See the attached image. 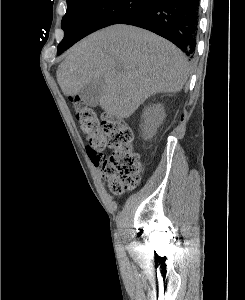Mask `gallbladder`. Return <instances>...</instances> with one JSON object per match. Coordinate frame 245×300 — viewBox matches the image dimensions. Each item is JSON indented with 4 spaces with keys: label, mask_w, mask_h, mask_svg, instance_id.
Listing matches in <instances>:
<instances>
[{
    "label": "gallbladder",
    "mask_w": 245,
    "mask_h": 300,
    "mask_svg": "<svg viewBox=\"0 0 245 300\" xmlns=\"http://www.w3.org/2000/svg\"><path fill=\"white\" fill-rule=\"evenodd\" d=\"M104 81L102 79L93 81L83 87L80 91L82 101L90 107H96L99 102V98L103 92Z\"/></svg>",
    "instance_id": "bac80fb5"
}]
</instances>
